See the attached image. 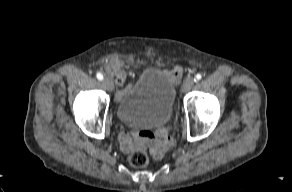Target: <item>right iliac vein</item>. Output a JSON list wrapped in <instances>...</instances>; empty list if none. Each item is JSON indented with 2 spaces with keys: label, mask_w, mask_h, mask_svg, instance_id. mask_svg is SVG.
<instances>
[{
  "label": "right iliac vein",
  "mask_w": 292,
  "mask_h": 192,
  "mask_svg": "<svg viewBox=\"0 0 292 192\" xmlns=\"http://www.w3.org/2000/svg\"><path fill=\"white\" fill-rule=\"evenodd\" d=\"M103 86L106 88V90L108 91H112L113 90V83L111 82L110 79L105 78L103 79Z\"/></svg>",
  "instance_id": "63e3f726"
}]
</instances>
